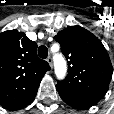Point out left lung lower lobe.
Here are the masks:
<instances>
[{
	"mask_svg": "<svg viewBox=\"0 0 114 114\" xmlns=\"http://www.w3.org/2000/svg\"><path fill=\"white\" fill-rule=\"evenodd\" d=\"M56 88L62 100L75 109H88L99 101L92 96L71 92L57 86Z\"/></svg>",
	"mask_w": 114,
	"mask_h": 114,
	"instance_id": "0a47b994",
	"label": "left lung lower lobe"
}]
</instances>
